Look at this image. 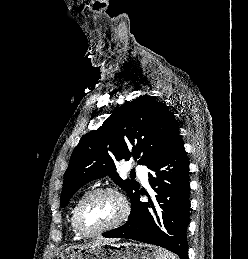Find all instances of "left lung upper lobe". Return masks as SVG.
I'll list each match as a JSON object with an SVG mask.
<instances>
[{"label":"left lung upper lobe","mask_w":248,"mask_h":259,"mask_svg":"<svg viewBox=\"0 0 248 259\" xmlns=\"http://www.w3.org/2000/svg\"><path fill=\"white\" fill-rule=\"evenodd\" d=\"M181 141L177 122L162 102L147 95L126 102L97 130L85 134L75 147L64 174L61 208L86 182L106 175L132 200L139 192V184L121 179L115 172V163L134 159L151 169Z\"/></svg>","instance_id":"left-lung-upper-lobe-1"}]
</instances>
